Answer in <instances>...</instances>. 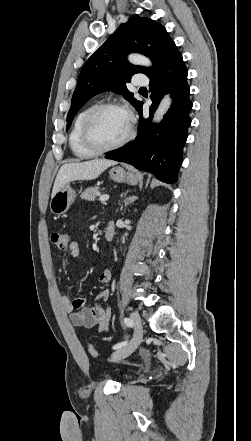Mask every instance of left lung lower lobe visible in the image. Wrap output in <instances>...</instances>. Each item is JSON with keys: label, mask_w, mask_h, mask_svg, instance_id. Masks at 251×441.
Returning a JSON list of instances; mask_svg holds the SVG:
<instances>
[{"label": "left lung lower lobe", "mask_w": 251, "mask_h": 441, "mask_svg": "<svg viewBox=\"0 0 251 441\" xmlns=\"http://www.w3.org/2000/svg\"><path fill=\"white\" fill-rule=\"evenodd\" d=\"M187 74L182 55L175 45L160 69L150 77V117L163 95L166 92L172 93L173 103L164 120L160 124L151 125L150 119L143 116L141 102L136 108L140 116L137 137L105 158L151 172L165 183L177 182L183 146L191 124L189 112L192 102L189 99Z\"/></svg>", "instance_id": "left-lung-lower-lobe-1"}]
</instances>
